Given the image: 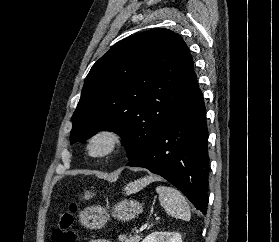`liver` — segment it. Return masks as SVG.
I'll return each mask as SVG.
<instances>
[{"instance_id": "1", "label": "liver", "mask_w": 279, "mask_h": 242, "mask_svg": "<svg viewBox=\"0 0 279 242\" xmlns=\"http://www.w3.org/2000/svg\"><path fill=\"white\" fill-rule=\"evenodd\" d=\"M151 181H153V179L150 177L135 181L134 183L129 184L128 192L134 193V192L142 189L146 185H148ZM88 197H89L88 195L85 196V198H88Z\"/></svg>"}]
</instances>
